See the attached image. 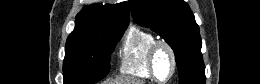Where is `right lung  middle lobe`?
I'll return each instance as SVG.
<instances>
[{
	"mask_svg": "<svg viewBox=\"0 0 260 84\" xmlns=\"http://www.w3.org/2000/svg\"><path fill=\"white\" fill-rule=\"evenodd\" d=\"M126 28H107L87 41L66 43L64 84H93L109 72L110 55Z\"/></svg>",
	"mask_w": 260,
	"mask_h": 84,
	"instance_id": "1",
	"label": "right lung middle lobe"
}]
</instances>
